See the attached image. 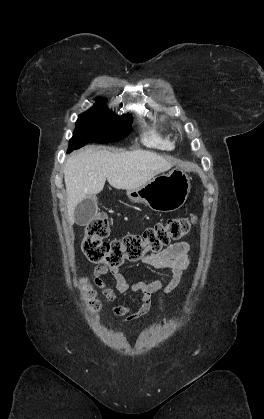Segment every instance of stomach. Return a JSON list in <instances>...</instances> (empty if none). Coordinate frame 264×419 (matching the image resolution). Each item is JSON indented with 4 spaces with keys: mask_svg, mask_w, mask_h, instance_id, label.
<instances>
[{
    "mask_svg": "<svg viewBox=\"0 0 264 419\" xmlns=\"http://www.w3.org/2000/svg\"><path fill=\"white\" fill-rule=\"evenodd\" d=\"M190 192V178L180 168L156 176L143 186L127 190L135 203H146L158 212H173L184 205Z\"/></svg>",
    "mask_w": 264,
    "mask_h": 419,
    "instance_id": "1",
    "label": "stomach"
}]
</instances>
